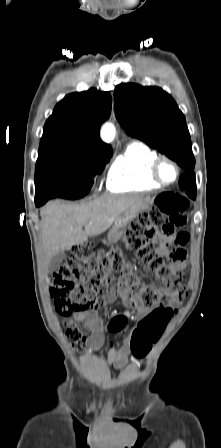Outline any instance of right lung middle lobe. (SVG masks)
<instances>
[{
	"mask_svg": "<svg viewBox=\"0 0 221 448\" xmlns=\"http://www.w3.org/2000/svg\"><path fill=\"white\" fill-rule=\"evenodd\" d=\"M112 153L88 154L69 147L39 149L36 196L79 199L86 195Z\"/></svg>",
	"mask_w": 221,
	"mask_h": 448,
	"instance_id": "right-lung-middle-lobe-1",
	"label": "right lung middle lobe"
}]
</instances>
